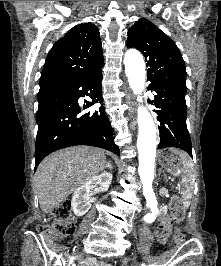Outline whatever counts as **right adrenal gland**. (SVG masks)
Wrapping results in <instances>:
<instances>
[{
	"instance_id": "obj_1",
	"label": "right adrenal gland",
	"mask_w": 221,
	"mask_h": 266,
	"mask_svg": "<svg viewBox=\"0 0 221 266\" xmlns=\"http://www.w3.org/2000/svg\"><path fill=\"white\" fill-rule=\"evenodd\" d=\"M109 170H113V166L110 164V163H107V166H106Z\"/></svg>"
}]
</instances>
